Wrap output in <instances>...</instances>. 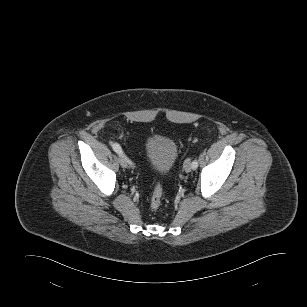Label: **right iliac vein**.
<instances>
[{
  "label": "right iliac vein",
  "mask_w": 307,
  "mask_h": 307,
  "mask_svg": "<svg viewBox=\"0 0 307 307\" xmlns=\"http://www.w3.org/2000/svg\"><path fill=\"white\" fill-rule=\"evenodd\" d=\"M119 163L122 168H127L128 167V161L124 156H120L119 158Z\"/></svg>",
  "instance_id": "right-iliac-vein-1"
}]
</instances>
